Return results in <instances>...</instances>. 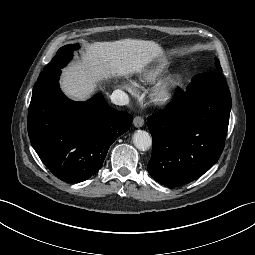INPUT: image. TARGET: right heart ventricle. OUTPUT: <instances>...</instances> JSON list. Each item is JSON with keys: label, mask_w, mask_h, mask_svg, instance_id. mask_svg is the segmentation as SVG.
Segmentation results:
<instances>
[{"label": "right heart ventricle", "mask_w": 255, "mask_h": 255, "mask_svg": "<svg viewBox=\"0 0 255 255\" xmlns=\"http://www.w3.org/2000/svg\"><path fill=\"white\" fill-rule=\"evenodd\" d=\"M167 67L166 63H160L157 66L146 70L142 75V80L147 83L156 81L165 73Z\"/></svg>", "instance_id": "right-heart-ventricle-1"}]
</instances>
